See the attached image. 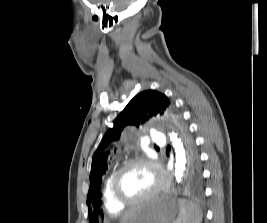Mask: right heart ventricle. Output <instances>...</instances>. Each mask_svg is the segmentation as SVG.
Wrapping results in <instances>:
<instances>
[{"instance_id": "1", "label": "right heart ventricle", "mask_w": 267, "mask_h": 223, "mask_svg": "<svg viewBox=\"0 0 267 223\" xmlns=\"http://www.w3.org/2000/svg\"><path fill=\"white\" fill-rule=\"evenodd\" d=\"M114 173V171L110 172L104 181L102 199L107 212L116 215L123 212L125 210V206L118 204L112 196L110 182Z\"/></svg>"}]
</instances>
